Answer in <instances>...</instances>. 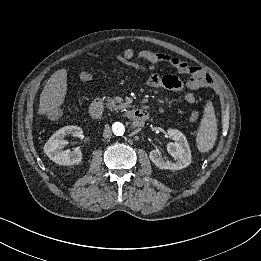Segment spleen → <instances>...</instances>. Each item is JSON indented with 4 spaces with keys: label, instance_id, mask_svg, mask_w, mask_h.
<instances>
[{
    "label": "spleen",
    "instance_id": "spleen-1",
    "mask_svg": "<svg viewBox=\"0 0 261 261\" xmlns=\"http://www.w3.org/2000/svg\"><path fill=\"white\" fill-rule=\"evenodd\" d=\"M217 138V120L212 102L209 101L204 108V115L197 132L196 142L200 152H208L215 144Z\"/></svg>",
    "mask_w": 261,
    "mask_h": 261
}]
</instances>
